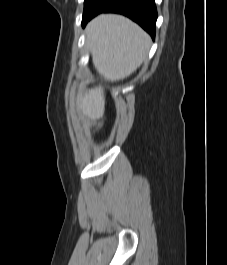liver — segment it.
<instances>
[{
    "label": "liver",
    "instance_id": "1",
    "mask_svg": "<svg viewBox=\"0 0 227 265\" xmlns=\"http://www.w3.org/2000/svg\"><path fill=\"white\" fill-rule=\"evenodd\" d=\"M86 42L93 65L105 80L116 82L130 76L146 59L150 36L130 19L116 14H102L86 27ZM83 114L100 118L105 110L104 89L99 86L78 95Z\"/></svg>",
    "mask_w": 227,
    "mask_h": 265
}]
</instances>
